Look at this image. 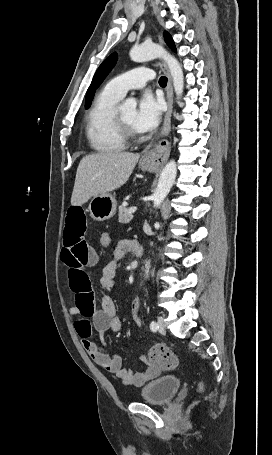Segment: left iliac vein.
<instances>
[{"label":"left iliac vein","instance_id":"left-iliac-vein-1","mask_svg":"<svg viewBox=\"0 0 272 455\" xmlns=\"http://www.w3.org/2000/svg\"><path fill=\"white\" fill-rule=\"evenodd\" d=\"M157 323H158V330L160 333H165L166 331V325H165V322H164V319L163 317H158L157 319Z\"/></svg>","mask_w":272,"mask_h":455}]
</instances>
